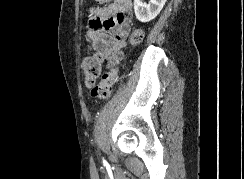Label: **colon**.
Here are the masks:
<instances>
[{
	"label": "colon",
	"mask_w": 244,
	"mask_h": 179,
	"mask_svg": "<svg viewBox=\"0 0 244 179\" xmlns=\"http://www.w3.org/2000/svg\"><path fill=\"white\" fill-rule=\"evenodd\" d=\"M109 0H98V3H108ZM143 37V31L136 28L131 33L130 43L135 44ZM103 56L96 52L82 62V69L85 74V84L91 90V96L97 100H106L111 96L115 85L119 81V67L115 66L104 74L102 80L97 82L101 74Z\"/></svg>",
	"instance_id": "colon-1"
}]
</instances>
